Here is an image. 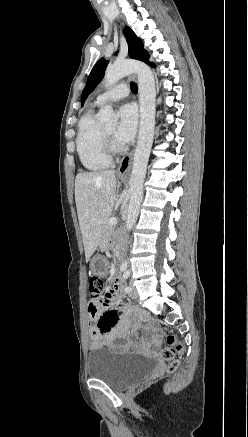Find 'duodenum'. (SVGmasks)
Segmentation results:
<instances>
[{
    "label": "duodenum",
    "instance_id": "1",
    "mask_svg": "<svg viewBox=\"0 0 248 437\" xmlns=\"http://www.w3.org/2000/svg\"><path fill=\"white\" fill-rule=\"evenodd\" d=\"M118 253H119V256H122V255H123V248H122V247H119V249H118Z\"/></svg>",
    "mask_w": 248,
    "mask_h": 437
}]
</instances>
